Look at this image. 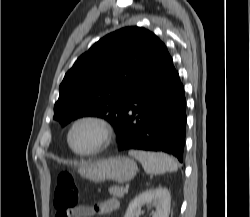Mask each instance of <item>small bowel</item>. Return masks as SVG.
I'll return each mask as SVG.
<instances>
[{
  "label": "small bowel",
  "mask_w": 250,
  "mask_h": 217,
  "mask_svg": "<svg viewBox=\"0 0 250 217\" xmlns=\"http://www.w3.org/2000/svg\"><path fill=\"white\" fill-rule=\"evenodd\" d=\"M118 207L119 201L116 198H110L106 201L96 204L94 207L79 206L73 210L70 217H92L95 214H110L116 211Z\"/></svg>",
  "instance_id": "1"
}]
</instances>
